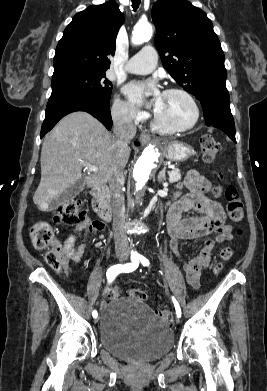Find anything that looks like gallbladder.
Returning a JSON list of instances; mask_svg holds the SVG:
<instances>
[{"instance_id": "1", "label": "gallbladder", "mask_w": 267, "mask_h": 391, "mask_svg": "<svg viewBox=\"0 0 267 391\" xmlns=\"http://www.w3.org/2000/svg\"><path fill=\"white\" fill-rule=\"evenodd\" d=\"M84 189V180L81 178L74 185L67 188L56 200V203L69 201L76 197Z\"/></svg>"}]
</instances>
